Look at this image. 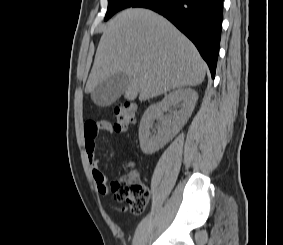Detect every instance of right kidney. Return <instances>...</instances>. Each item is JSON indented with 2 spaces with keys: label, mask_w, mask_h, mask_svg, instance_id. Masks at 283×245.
<instances>
[{
  "label": "right kidney",
  "mask_w": 283,
  "mask_h": 245,
  "mask_svg": "<svg viewBox=\"0 0 283 245\" xmlns=\"http://www.w3.org/2000/svg\"><path fill=\"white\" fill-rule=\"evenodd\" d=\"M198 94L191 88H179L170 92L158 103L150 105L145 111L140 127L139 141L143 153L153 154L168 143L187 123L191 116ZM178 109V110H177ZM170 111L172 117L164 120V111ZM160 123L153 129V123Z\"/></svg>",
  "instance_id": "right-kidney-1"
}]
</instances>
